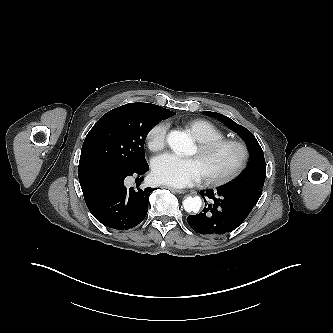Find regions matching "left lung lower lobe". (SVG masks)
Listing matches in <instances>:
<instances>
[{
  "mask_svg": "<svg viewBox=\"0 0 333 333\" xmlns=\"http://www.w3.org/2000/svg\"><path fill=\"white\" fill-rule=\"evenodd\" d=\"M200 195L212 199V204L197 215L187 217L189 226L197 233L216 236L236 229L247 218L258 198L220 187L217 192L201 191Z\"/></svg>",
  "mask_w": 333,
  "mask_h": 333,
  "instance_id": "left-lung-lower-lobe-1",
  "label": "left lung lower lobe"
}]
</instances>
